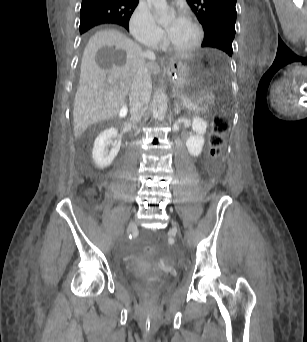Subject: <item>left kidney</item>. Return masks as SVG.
Wrapping results in <instances>:
<instances>
[{
    "label": "left kidney",
    "instance_id": "left-kidney-1",
    "mask_svg": "<svg viewBox=\"0 0 307 342\" xmlns=\"http://www.w3.org/2000/svg\"><path fill=\"white\" fill-rule=\"evenodd\" d=\"M192 130L195 132V136H190L188 140H186V148L190 154V156H200L203 146H204V134H206L207 130V122L203 120V118H193L192 120Z\"/></svg>",
    "mask_w": 307,
    "mask_h": 342
}]
</instances>
